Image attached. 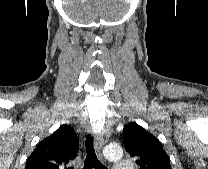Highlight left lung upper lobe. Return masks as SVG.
<instances>
[{"label": "left lung upper lobe", "instance_id": "5c2ea615", "mask_svg": "<svg viewBox=\"0 0 208 169\" xmlns=\"http://www.w3.org/2000/svg\"><path fill=\"white\" fill-rule=\"evenodd\" d=\"M126 151L136 159L140 169H171L170 159L159 140L135 122L124 126Z\"/></svg>", "mask_w": 208, "mask_h": 169}]
</instances>
